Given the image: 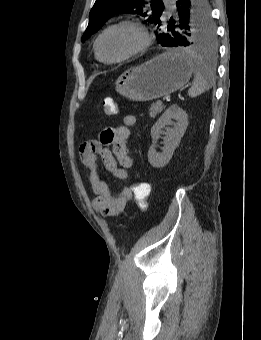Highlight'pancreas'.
I'll list each match as a JSON object with an SVG mask.
<instances>
[{
  "label": "pancreas",
  "instance_id": "pancreas-1",
  "mask_svg": "<svg viewBox=\"0 0 261 340\" xmlns=\"http://www.w3.org/2000/svg\"><path fill=\"white\" fill-rule=\"evenodd\" d=\"M164 106L161 101H157L156 103H153L149 109V116L151 118H155L157 114L161 113Z\"/></svg>",
  "mask_w": 261,
  "mask_h": 340
}]
</instances>
